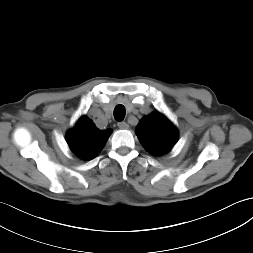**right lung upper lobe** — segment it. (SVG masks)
Returning <instances> with one entry per match:
<instances>
[{
  "label": "right lung upper lobe",
  "mask_w": 253,
  "mask_h": 253,
  "mask_svg": "<svg viewBox=\"0 0 253 253\" xmlns=\"http://www.w3.org/2000/svg\"><path fill=\"white\" fill-rule=\"evenodd\" d=\"M112 130H99L89 118L83 116L67 133L66 140L72 151L82 159L94 158L103 149Z\"/></svg>",
  "instance_id": "right-lung-upper-lobe-1"
}]
</instances>
